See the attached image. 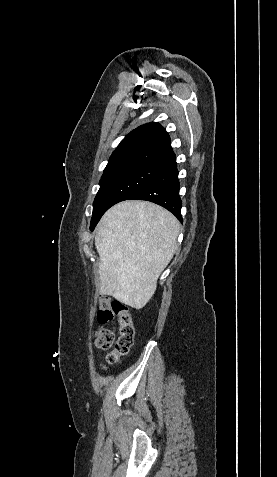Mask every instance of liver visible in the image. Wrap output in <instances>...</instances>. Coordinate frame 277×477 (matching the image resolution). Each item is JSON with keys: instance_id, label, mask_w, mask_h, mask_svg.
<instances>
[{"instance_id": "1", "label": "liver", "mask_w": 277, "mask_h": 477, "mask_svg": "<svg viewBox=\"0 0 277 477\" xmlns=\"http://www.w3.org/2000/svg\"><path fill=\"white\" fill-rule=\"evenodd\" d=\"M179 230L175 216L154 203L124 201L111 207L95 236L100 293L143 308L176 251Z\"/></svg>"}]
</instances>
